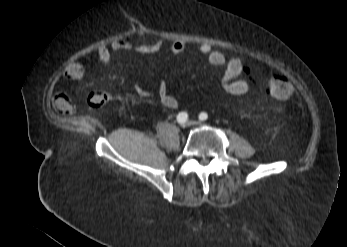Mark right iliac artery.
<instances>
[{"label":"right iliac artery","mask_w":347,"mask_h":247,"mask_svg":"<svg viewBox=\"0 0 347 247\" xmlns=\"http://www.w3.org/2000/svg\"><path fill=\"white\" fill-rule=\"evenodd\" d=\"M176 118L178 123L182 124L188 120V114L186 112H180Z\"/></svg>","instance_id":"obj_1"}]
</instances>
